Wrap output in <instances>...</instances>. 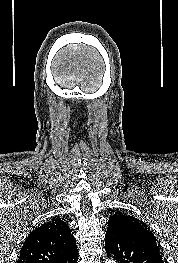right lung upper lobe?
Segmentation results:
<instances>
[{"mask_svg": "<svg viewBox=\"0 0 178 263\" xmlns=\"http://www.w3.org/2000/svg\"><path fill=\"white\" fill-rule=\"evenodd\" d=\"M75 254L76 240L69 226L56 218L30 232L17 263H64Z\"/></svg>", "mask_w": 178, "mask_h": 263, "instance_id": "obj_1", "label": "right lung upper lobe"}]
</instances>
